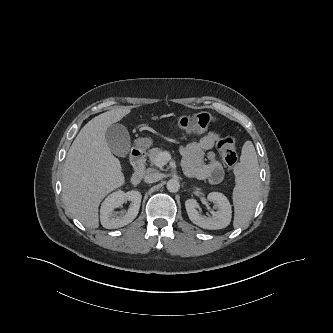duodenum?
<instances>
[{"instance_id":"1","label":"duodenum","mask_w":333,"mask_h":333,"mask_svg":"<svg viewBox=\"0 0 333 333\" xmlns=\"http://www.w3.org/2000/svg\"><path fill=\"white\" fill-rule=\"evenodd\" d=\"M145 161L146 154L142 149H135L131 154V163L134 168V172L130 178V183L132 185H138L141 183L145 175Z\"/></svg>"}]
</instances>
